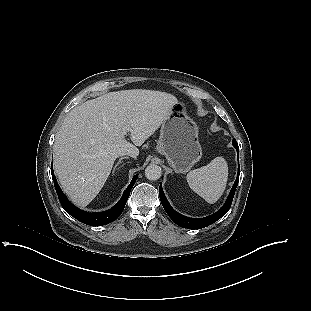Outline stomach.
Wrapping results in <instances>:
<instances>
[{
	"label": "stomach",
	"instance_id": "stomach-1",
	"mask_svg": "<svg viewBox=\"0 0 311 311\" xmlns=\"http://www.w3.org/2000/svg\"><path fill=\"white\" fill-rule=\"evenodd\" d=\"M156 150L166 157L176 173L188 172L200 160L198 127L186 115L183 103L175 104L170 116L163 121Z\"/></svg>",
	"mask_w": 311,
	"mask_h": 311
}]
</instances>
